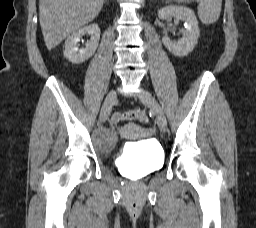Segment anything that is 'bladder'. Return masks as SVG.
<instances>
[{
	"label": "bladder",
	"mask_w": 256,
	"mask_h": 228,
	"mask_svg": "<svg viewBox=\"0 0 256 228\" xmlns=\"http://www.w3.org/2000/svg\"><path fill=\"white\" fill-rule=\"evenodd\" d=\"M118 138L115 130L102 131L95 137V146L103 154L111 153ZM163 161L162 149L154 143L145 142L127 150L125 168L136 178H142L160 169Z\"/></svg>",
	"instance_id": "31cf9c89"
}]
</instances>
